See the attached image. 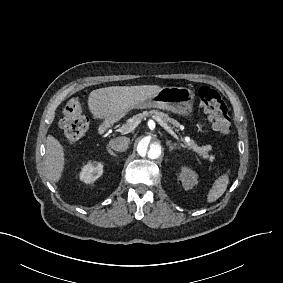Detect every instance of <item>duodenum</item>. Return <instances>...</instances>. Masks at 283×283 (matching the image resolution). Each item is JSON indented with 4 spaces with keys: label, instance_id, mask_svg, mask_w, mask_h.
<instances>
[{
    "label": "duodenum",
    "instance_id": "410a0bca",
    "mask_svg": "<svg viewBox=\"0 0 283 283\" xmlns=\"http://www.w3.org/2000/svg\"><path fill=\"white\" fill-rule=\"evenodd\" d=\"M109 125H110V122L108 120H105L104 122H102L99 127V133L104 134L109 128Z\"/></svg>",
    "mask_w": 283,
    "mask_h": 283
}]
</instances>
